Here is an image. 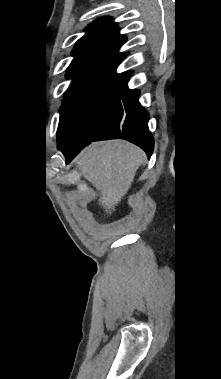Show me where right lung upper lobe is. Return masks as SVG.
<instances>
[{
  "instance_id": "right-lung-upper-lobe-1",
  "label": "right lung upper lobe",
  "mask_w": 221,
  "mask_h": 379,
  "mask_svg": "<svg viewBox=\"0 0 221 379\" xmlns=\"http://www.w3.org/2000/svg\"><path fill=\"white\" fill-rule=\"evenodd\" d=\"M86 31L72 51L74 59L66 74L72 79L68 90L96 81L117 82L129 78L130 71L115 73L126 57L125 53L118 52L126 37L119 34L116 23L109 17H102L90 24Z\"/></svg>"
}]
</instances>
